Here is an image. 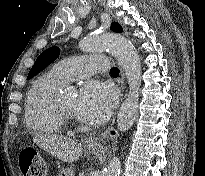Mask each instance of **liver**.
Segmentation results:
<instances>
[{"mask_svg": "<svg viewBox=\"0 0 205 176\" xmlns=\"http://www.w3.org/2000/svg\"><path fill=\"white\" fill-rule=\"evenodd\" d=\"M34 142L42 149L65 162L76 161L82 154V144L58 135H37Z\"/></svg>", "mask_w": 205, "mask_h": 176, "instance_id": "obj_1", "label": "liver"}]
</instances>
